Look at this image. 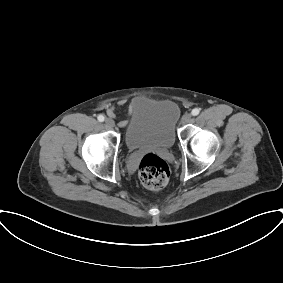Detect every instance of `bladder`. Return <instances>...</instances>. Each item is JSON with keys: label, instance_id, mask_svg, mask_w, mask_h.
I'll use <instances>...</instances> for the list:
<instances>
[{"label": "bladder", "instance_id": "bladder-1", "mask_svg": "<svg viewBox=\"0 0 283 283\" xmlns=\"http://www.w3.org/2000/svg\"><path fill=\"white\" fill-rule=\"evenodd\" d=\"M180 118L178 105L172 100H143L130 111L124 142L129 150L173 147L176 125Z\"/></svg>", "mask_w": 283, "mask_h": 283}]
</instances>
